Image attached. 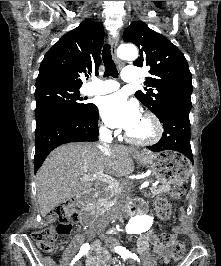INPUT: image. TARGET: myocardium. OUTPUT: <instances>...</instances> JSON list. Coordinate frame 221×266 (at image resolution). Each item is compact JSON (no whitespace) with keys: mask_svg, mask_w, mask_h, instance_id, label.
Instances as JSON below:
<instances>
[{"mask_svg":"<svg viewBox=\"0 0 221 266\" xmlns=\"http://www.w3.org/2000/svg\"><path fill=\"white\" fill-rule=\"evenodd\" d=\"M143 119L147 121L150 126V133L146 137H135L130 134L128 131L126 132L127 140L135 145H150L160 139L163 133V126L160 120L152 113H145Z\"/></svg>","mask_w":221,"mask_h":266,"instance_id":"obj_1","label":"myocardium"}]
</instances>
